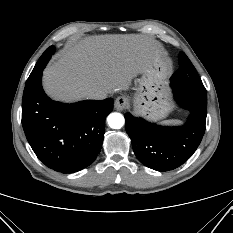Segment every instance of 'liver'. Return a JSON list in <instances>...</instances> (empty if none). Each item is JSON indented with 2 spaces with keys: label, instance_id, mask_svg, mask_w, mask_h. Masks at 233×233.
Instances as JSON below:
<instances>
[{
  "label": "liver",
  "instance_id": "1",
  "mask_svg": "<svg viewBox=\"0 0 233 233\" xmlns=\"http://www.w3.org/2000/svg\"><path fill=\"white\" fill-rule=\"evenodd\" d=\"M159 45L146 35H96L68 44L43 73V87L54 100L74 102L91 98L99 89H129L143 74Z\"/></svg>",
  "mask_w": 233,
  "mask_h": 233
}]
</instances>
